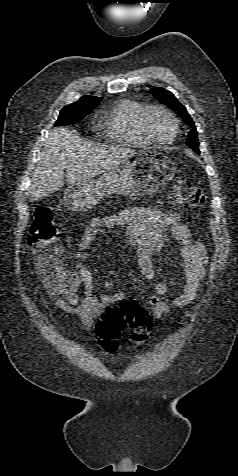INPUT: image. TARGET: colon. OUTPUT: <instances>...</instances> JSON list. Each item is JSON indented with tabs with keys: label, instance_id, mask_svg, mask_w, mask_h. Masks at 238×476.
Returning a JSON list of instances; mask_svg holds the SVG:
<instances>
[{
	"label": "colon",
	"instance_id": "5ec220e1",
	"mask_svg": "<svg viewBox=\"0 0 238 476\" xmlns=\"http://www.w3.org/2000/svg\"><path fill=\"white\" fill-rule=\"evenodd\" d=\"M201 189L185 178H178L172 192V202L181 209H196L203 205ZM29 246L35 251L36 264L42 280L50 289H59L75 283L73 275L62 265L58 245V228L52 211L47 207L35 210L28 237ZM152 316L136 301L125 300L108 308L96 325L101 344L114 351L125 327L131 328L130 342L144 343L152 329Z\"/></svg>",
	"mask_w": 238,
	"mask_h": 476
}]
</instances>
